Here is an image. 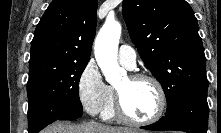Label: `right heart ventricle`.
<instances>
[{
	"label": "right heart ventricle",
	"mask_w": 221,
	"mask_h": 133,
	"mask_svg": "<svg viewBox=\"0 0 221 133\" xmlns=\"http://www.w3.org/2000/svg\"><path fill=\"white\" fill-rule=\"evenodd\" d=\"M110 90V100L104 109V111L101 113L102 117L106 120H111L116 117V110H115V90L113 87L109 86Z\"/></svg>",
	"instance_id": "obj_1"
}]
</instances>
